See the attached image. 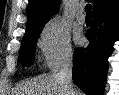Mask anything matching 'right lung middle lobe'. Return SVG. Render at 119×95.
<instances>
[{"instance_id": "obj_1", "label": "right lung middle lobe", "mask_w": 119, "mask_h": 95, "mask_svg": "<svg viewBox=\"0 0 119 95\" xmlns=\"http://www.w3.org/2000/svg\"><path fill=\"white\" fill-rule=\"evenodd\" d=\"M43 27L44 26H41L25 33L20 48V57L23 67H29L33 64L37 38Z\"/></svg>"}]
</instances>
